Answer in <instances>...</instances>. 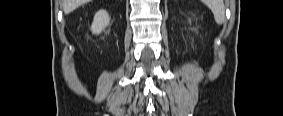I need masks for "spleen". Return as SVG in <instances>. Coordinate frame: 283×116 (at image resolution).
<instances>
[{
    "label": "spleen",
    "instance_id": "obj_1",
    "mask_svg": "<svg viewBox=\"0 0 283 116\" xmlns=\"http://www.w3.org/2000/svg\"><path fill=\"white\" fill-rule=\"evenodd\" d=\"M205 5L212 11L214 19L218 25L225 21V7L223 0H206Z\"/></svg>",
    "mask_w": 283,
    "mask_h": 116
}]
</instances>
